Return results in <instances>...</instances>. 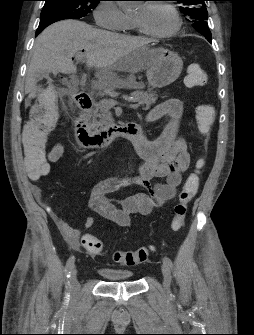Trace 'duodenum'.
<instances>
[{"mask_svg": "<svg viewBox=\"0 0 254 335\" xmlns=\"http://www.w3.org/2000/svg\"><path fill=\"white\" fill-rule=\"evenodd\" d=\"M79 113L75 120V134L79 143L88 149H99L110 145L117 138H127L132 142L140 140L142 129L137 123L113 124L101 130L90 128L87 113L92 107L91 98L84 93L75 96Z\"/></svg>", "mask_w": 254, "mask_h": 335, "instance_id": "410a0bca", "label": "duodenum"}]
</instances>
